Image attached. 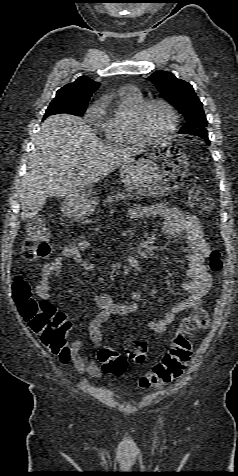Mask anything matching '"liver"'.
<instances>
[{
    "label": "liver",
    "mask_w": 238,
    "mask_h": 476,
    "mask_svg": "<svg viewBox=\"0 0 238 476\" xmlns=\"http://www.w3.org/2000/svg\"><path fill=\"white\" fill-rule=\"evenodd\" d=\"M142 148H116L100 142L79 117H48L35 140V149L22 179L21 218L35 217L48 196L64 197L89 187L115 171ZM74 170L79 173L75 174Z\"/></svg>",
    "instance_id": "obj_1"
}]
</instances>
